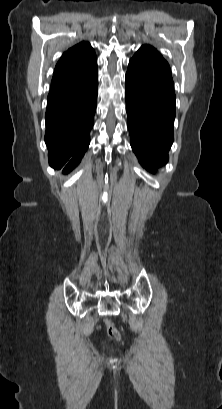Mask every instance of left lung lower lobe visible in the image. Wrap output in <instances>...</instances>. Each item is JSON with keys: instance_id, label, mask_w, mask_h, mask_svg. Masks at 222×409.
Masks as SVG:
<instances>
[{"instance_id": "1", "label": "left lung lower lobe", "mask_w": 222, "mask_h": 409, "mask_svg": "<svg viewBox=\"0 0 222 409\" xmlns=\"http://www.w3.org/2000/svg\"><path fill=\"white\" fill-rule=\"evenodd\" d=\"M125 80L131 147L141 165L155 172L167 163L174 140V88L129 71Z\"/></svg>"}]
</instances>
